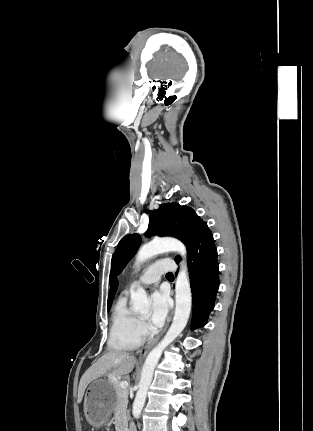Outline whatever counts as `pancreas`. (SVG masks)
<instances>
[{"label":"pancreas","instance_id":"obj_1","mask_svg":"<svg viewBox=\"0 0 313 431\" xmlns=\"http://www.w3.org/2000/svg\"><path fill=\"white\" fill-rule=\"evenodd\" d=\"M116 403L114 408V420L118 431L126 425L127 422V405H128V390L120 387V382L115 379Z\"/></svg>","mask_w":313,"mask_h":431}]
</instances>
